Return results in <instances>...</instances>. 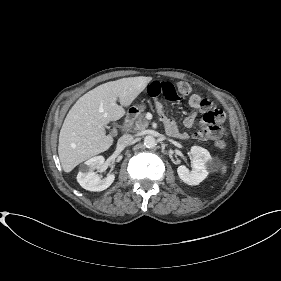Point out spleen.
<instances>
[{
	"label": "spleen",
	"mask_w": 281,
	"mask_h": 281,
	"mask_svg": "<svg viewBox=\"0 0 281 281\" xmlns=\"http://www.w3.org/2000/svg\"><path fill=\"white\" fill-rule=\"evenodd\" d=\"M227 171V166H226V163H223L222 166H221V174H225Z\"/></svg>",
	"instance_id": "obj_1"
}]
</instances>
